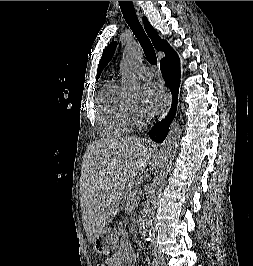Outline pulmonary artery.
<instances>
[{
  "label": "pulmonary artery",
  "instance_id": "obj_1",
  "mask_svg": "<svg viewBox=\"0 0 253 266\" xmlns=\"http://www.w3.org/2000/svg\"><path fill=\"white\" fill-rule=\"evenodd\" d=\"M136 74L143 80H150L153 77V72L149 67L143 66L136 70Z\"/></svg>",
  "mask_w": 253,
  "mask_h": 266
}]
</instances>
